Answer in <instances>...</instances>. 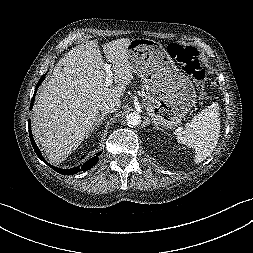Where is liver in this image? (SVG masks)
Wrapping results in <instances>:
<instances>
[{"label": "liver", "mask_w": 253, "mask_h": 253, "mask_svg": "<svg viewBox=\"0 0 253 253\" xmlns=\"http://www.w3.org/2000/svg\"><path fill=\"white\" fill-rule=\"evenodd\" d=\"M130 41L103 45L115 86H104L105 63L97 40L72 48L55 65L32 114L34 139L53 164L66 160L93 131L102 102L123 96L134 73L126 50Z\"/></svg>", "instance_id": "6515ba94"}]
</instances>
